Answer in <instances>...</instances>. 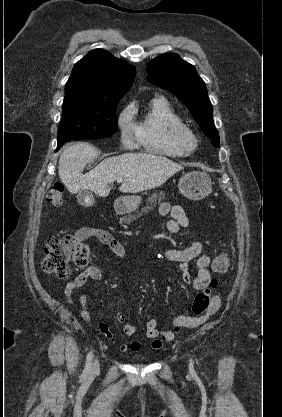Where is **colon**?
I'll use <instances>...</instances> for the list:
<instances>
[{
  "mask_svg": "<svg viewBox=\"0 0 282 417\" xmlns=\"http://www.w3.org/2000/svg\"><path fill=\"white\" fill-rule=\"evenodd\" d=\"M47 197L54 207H62L64 204V188L55 183L48 189ZM46 254L41 260V268L45 273L57 276H67L73 268H80L87 264L89 251L85 243L73 239L69 235L50 236L46 240ZM213 268L218 273H225L231 268L230 257L227 253L219 254L213 262ZM218 281L211 279L208 286L200 291L193 300L192 313L200 316L215 305L214 290Z\"/></svg>",
  "mask_w": 282,
  "mask_h": 417,
  "instance_id": "obj_1",
  "label": "colon"
}]
</instances>
